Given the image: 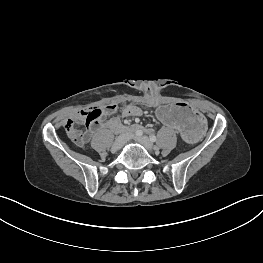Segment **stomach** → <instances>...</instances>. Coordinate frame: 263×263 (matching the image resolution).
<instances>
[{
    "label": "stomach",
    "instance_id": "obj_1",
    "mask_svg": "<svg viewBox=\"0 0 263 263\" xmlns=\"http://www.w3.org/2000/svg\"><path fill=\"white\" fill-rule=\"evenodd\" d=\"M156 122L179 131L182 140L195 144L205 133L206 124L203 116L182 103H162L154 111Z\"/></svg>",
    "mask_w": 263,
    "mask_h": 263
}]
</instances>
